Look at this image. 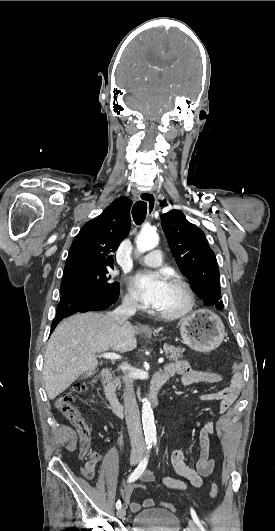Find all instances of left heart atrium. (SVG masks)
I'll return each mask as SVG.
<instances>
[{
	"mask_svg": "<svg viewBox=\"0 0 275 531\" xmlns=\"http://www.w3.org/2000/svg\"><path fill=\"white\" fill-rule=\"evenodd\" d=\"M169 282L164 271H144L132 278L131 287L145 304L157 307L161 303Z\"/></svg>",
	"mask_w": 275,
	"mask_h": 531,
	"instance_id": "obj_1",
	"label": "left heart atrium"
}]
</instances>
